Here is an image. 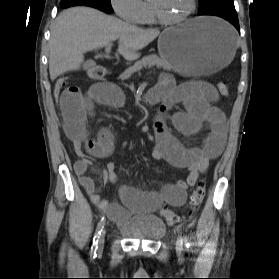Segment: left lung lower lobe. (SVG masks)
Instances as JSON below:
<instances>
[{
	"instance_id": "1",
	"label": "left lung lower lobe",
	"mask_w": 279,
	"mask_h": 279,
	"mask_svg": "<svg viewBox=\"0 0 279 279\" xmlns=\"http://www.w3.org/2000/svg\"><path fill=\"white\" fill-rule=\"evenodd\" d=\"M198 15H213L229 21L240 32L239 21L234 3H222L214 5L205 11L198 12Z\"/></svg>"
}]
</instances>
